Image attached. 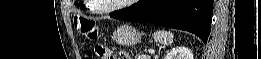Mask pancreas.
<instances>
[{
	"label": "pancreas",
	"mask_w": 261,
	"mask_h": 59,
	"mask_svg": "<svg viewBox=\"0 0 261 59\" xmlns=\"http://www.w3.org/2000/svg\"><path fill=\"white\" fill-rule=\"evenodd\" d=\"M135 59H151V57L149 55H146V54H137L135 56Z\"/></svg>",
	"instance_id": "cf45deb5"
}]
</instances>
